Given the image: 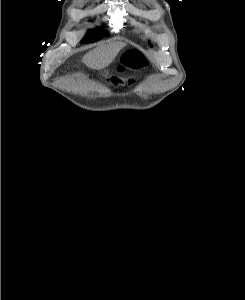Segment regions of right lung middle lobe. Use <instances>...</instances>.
I'll return each mask as SVG.
<instances>
[{
    "label": "right lung middle lobe",
    "mask_w": 245,
    "mask_h": 300,
    "mask_svg": "<svg viewBox=\"0 0 245 300\" xmlns=\"http://www.w3.org/2000/svg\"><path fill=\"white\" fill-rule=\"evenodd\" d=\"M103 35L108 36L109 33L101 28H96L88 31V34L82 39L81 43L94 42L102 38Z\"/></svg>",
    "instance_id": "obj_1"
}]
</instances>
